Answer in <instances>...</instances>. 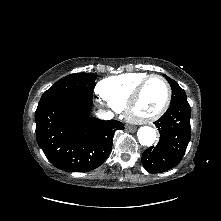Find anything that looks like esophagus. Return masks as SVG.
Wrapping results in <instances>:
<instances>
[{"instance_id": "esophagus-1", "label": "esophagus", "mask_w": 221, "mask_h": 221, "mask_svg": "<svg viewBox=\"0 0 221 221\" xmlns=\"http://www.w3.org/2000/svg\"><path fill=\"white\" fill-rule=\"evenodd\" d=\"M126 129L130 132H134L136 130V128L134 126H131V125H126Z\"/></svg>"}]
</instances>
